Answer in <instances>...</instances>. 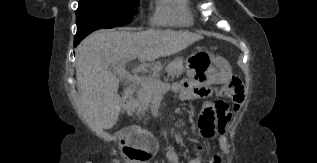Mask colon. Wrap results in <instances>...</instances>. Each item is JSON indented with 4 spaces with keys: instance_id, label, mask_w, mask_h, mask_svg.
Masks as SVG:
<instances>
[{
    "instance_id": "obj_1",
    "label": "colon",
    "mask_w": 317,
    "mask_h": 163,
    "mask_svg": "<svg viewBox=\"0 0 317 163\" xmlns=\"http://www.w3.org/2000/svg\"><path fill=\"white\" fill-rule=\"evenodd\" d=\"M221 93L224 97L232 99L235 105L242 100L244 102V87L236 76L231 77ZM226 109L227 104L224 101L205 103L199 115L200 130L204 133L216 132L219 129L220 118ZM128 133L132 143V148L130 149L131 159L145 162L156 154L157 140L152 133L137 128L129 129Z\"/></svg>"
}]
</instances>
